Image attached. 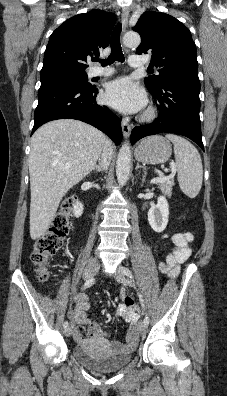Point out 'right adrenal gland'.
Wrapping results in <instances>:
<instances>
[{"label": "right adrenal gland", "instance_id": "right-adrenal-gland-1", "mask_svg": "<svg viewBox=\"0 0 227 396\" xmlns=\"http://www.w3.org/2000/svg\"><path fill=\"white\" fill-rule=\"evenodd\" d=\"M93 170L96 171V172H103L104 171V168L102 167V164H101L100 161H99V165H95Z\"/></svg>", "mask_w": 227, "mask_h": 396}]
</instances>
